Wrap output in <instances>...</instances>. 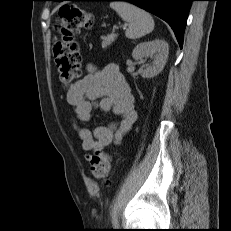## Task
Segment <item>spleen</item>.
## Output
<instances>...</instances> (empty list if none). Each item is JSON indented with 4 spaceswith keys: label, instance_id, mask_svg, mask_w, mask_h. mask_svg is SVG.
Returning a JSON list of instances; mask_svg holds the SVG:
<instances>
[{
    "label": "spleen",
    "instance_id": "1",
    "mask_svg": "<svg viewBox=\"0 0 231 231\" xmlns=\"http://www.w3.org/2000/svg\"><path fill=\"white\" fill-rule=\"evenodd\" d=\"M110 7L128 23V29L125 32L127 38L138 39L153 31L154 20L143 9L127 2H111Z\"/></svg>",
    "mask_w": 231,
    "mask_h": 231
}]
</instances>
